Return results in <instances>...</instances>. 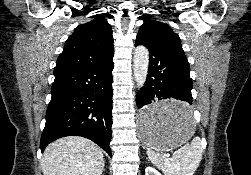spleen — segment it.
<instances>
[{
    "instance_id": "1",
    "label": "spleen",
    "mask_w": 251,
    "mask_h": 175,
    "mask_svg": "<svg viewBox=\"0 0 251 175\" xmlns=\"http://www.w3.org/2000/svg\"><path fill=\"white\" fill-rule=\"evenodd\" d=\"M195 121L192 119L191 109L183 107L180 117V125L185 131H194ZM153 127V129H152ZM151 133L155 131V123L152 125ZM202 145L200 137H194L191 143H185L180 149L175 151L173 157H164L160 153H155L152 147H147V155L159 169L163 171L164 175H193L202 159Z\"/></svg>"
}]
</instances>
